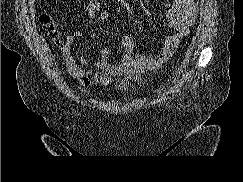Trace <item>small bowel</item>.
<instances>
[{
    "label": "small bowel",
    "mask_w": 243,
    "mask_h": 182,
    "mask_svg": "<svg viewBox=\"0 0 243 182\" xmlns=\"http://www.w3.org/2000/svg\"><path fill=\"white\" fill-rule=\"evenodd\" d=\"M197 12L198 8L193 0H173L165 11L171 33L164 38L160 52L153 55L138 53L133 39L125 35L122 38L124 54L116 63L109 61V53L105 48H101L100 56L92 62L79 49L73 52L74 41L80 36V32L75 31L67 37L64 51L67 71L85 87L113 85L116 89L125 90L130 81L138 82L142 74L158 69L173 55L182 39L189 34ZM85 15L89 20L96 17L106 19L109 12L102 9L98 0H90L85 8Z\"/></svg>",
    "instance_id": "obj_1"
}]
</instances>
